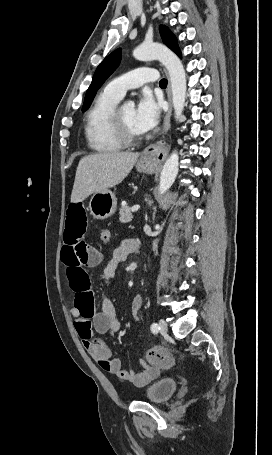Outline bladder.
<instances>
[{"instance_id": "1", "label": "bladder", "mask_w": 272, "mask_h": 455, "mask_svg": "<svg viewBox=\"0 0 272 455\" xmlns=\"http://www.w3.org/2000/svg\"><path fill=\"white\" fill-rule=\"evenodd\" d=\"M177 381L171 377H162L151 382L145 388V398L155 404L167 401L176 391Z\"/></svg>"}]
</instances>
